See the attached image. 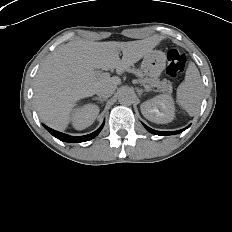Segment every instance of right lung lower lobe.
<instances>
[{
	"mask_svg": "<svg viewBox=\"0 0 232 232\" xmlns=\"http://www.w3.org/2000/svg\"><path fill=\"white\" fill-rule=\"evenodd\" d=\"M105 123V122H104ZM104 123L101 125V127L99 129H97L95 132L88 134V135H84V136H70L67 134H63L61 132L55 131L47 126L44 125V127L56 138H58L61 141L64 142H85L88 140L93 139L95 136H97L99 134V132L102 130Z\"/></svg>",
	"mask_w": 232,
	"mask_h": 232,
	"instance_id": "right-lung-lower-lobe-1",
	"label": "right lung lower lobe"
}]
</instances>
